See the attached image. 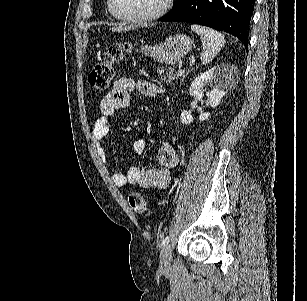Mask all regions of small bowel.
Returning <instances> with one entry per match:
<instances>
[{"label":"small bowel","mask_w":307,"mask_h":301,"mask_svg":"<svg viewBox=\"0 0 307 301\" xmlns=\"http://www.w3.org/2000/svg\"><path fill=\"white\" fill-rule=\"evenodd\" d=\"M135 89L147 97H155L161 91L152 82L146 80L134 81L125 77L115 81L112 90L100 102V115L94 122L92 140L98 155L104 162L107 160V156L101 141L108 133L110 118L115 113L128 109L131 103L130 94ZM145 149V140L138 139L133 143L131 151L135 155H141ZM158 159L161 165L159 169L131 166L126 174L114 173L112 179L118 187L132 184L147 189H165L170 182L171 171L178 163V155L171 144L165 143L159 148Z\"/></svg>","instance_id":"small-bowel-1"}]
</instances>
